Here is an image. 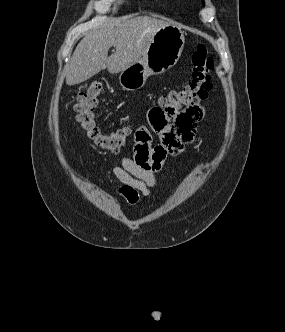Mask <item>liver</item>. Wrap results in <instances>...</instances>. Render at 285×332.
Listing matches in <instances>:
<instances>
[{
  "mask_svg": "<svg viewBox=\"0 0 285 332\" xmlns=\"http://www.w3.org/2000/svg\"><path fill=\"white\" fill-rule=\"evenodd\" d=\"M170 25L149 17L120 18L107 21L85 34L77 45L66 69V84L82 83L100 71L116 74L139 62L154 35ZM114 46L116 52L108 57Z\"/></svg>",
  "mask_w": 285,
  "mask_h": 332,
  "instance_id": "liver-1",
  "label": "liver"
}]
</instances>
